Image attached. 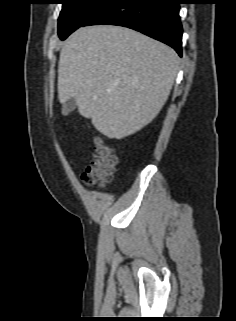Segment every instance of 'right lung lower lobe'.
<instances>
[{"mask_svg":"<svg viewBox=\"0 0 236 321\" xmlns=\"http://www.w3.org/2000/svg\"><path fill=\"white\" fill-rule=\"evenodd\" d=\"M179 0H109L80 27L112 24L128 27L168 44L182 55Z\"/></svg>","mask_w":236,"mask_h":321,"instance_id":"98d812e1","label":"right lung lower lobe"}]
</instances>
